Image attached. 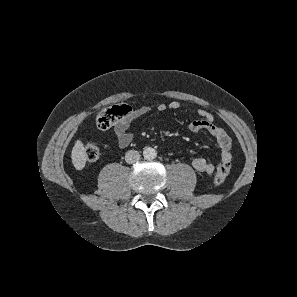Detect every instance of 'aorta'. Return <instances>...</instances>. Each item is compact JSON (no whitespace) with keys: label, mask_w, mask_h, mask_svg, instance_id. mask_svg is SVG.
Instances as JSON below:
<instances>
[{"label":"aorta","mask_w":297,"mask_h":297,"mask_svg":"<svg viewBox=\"0 0 297 297\" xmlns=\"http://www.w3.org/2000/svg\"><path fill=\"white\" fill-rule=\"evenodd\" d=\"M143 155H144L145 159L152 160V159L156 158L157 152L152 147H146L143 151Z\"/></svg>","instance_id":"762f6f07"}]
</instances>
